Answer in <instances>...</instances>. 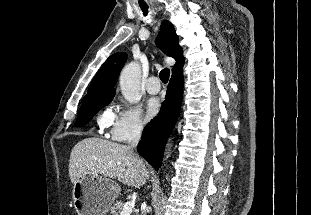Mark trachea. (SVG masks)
<instances>
[{"mask_svg": "<svg viewBox=\"0 0 311 215\" xmlns=\"http://www.w3.org/2000/svg\"><path fill=\"white\" fill-rule=\"evenodd\" d=\"M143 14L146 16L148 13V7L147 6H140ZM160 79L161 81L166 84L169 80V76H170V70L168 68H164L163 70H161L160 74Z\"/></svg>", "mask_w": 311, "mask_h": 215, "instance_id": "obj_1", "label": "trachea"}]
</instances>
